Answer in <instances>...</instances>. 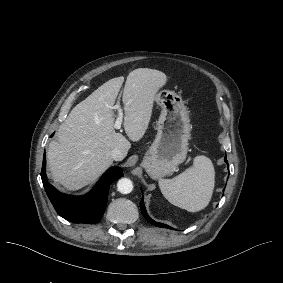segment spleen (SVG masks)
Listing matches in <instances>:
<instances>
[{
    "mask_svg": "<svg viewBox=\"0 0 283 283\" xmlns=\"http://www.w3.org/2000/svg\"><path fill=\"white\" fill-rule=\"evenodd\" d=\"M216 171L210 158L195 157L194 166L173 180L160 179L164 197L173 205L196 213L205 209L213 196Z\"/></svg>",
    "mask_w": 283,
    "mask_h": 283,
    "instance_id": "obj_1",
    "label": "spleen"
}]
</instances>
